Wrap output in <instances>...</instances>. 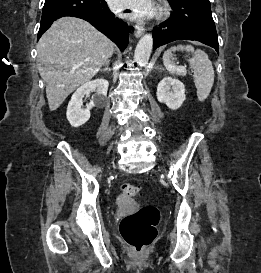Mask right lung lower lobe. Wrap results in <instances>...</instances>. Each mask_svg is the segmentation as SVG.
<instances>
[{
  "label": "right lung lower lobe",
  "mask_w": 261,
  "mask_h": 273,
  "mask_svg": "<svg viewBox=\"0 0 261 273\" xmlns=\"http://www.w3.org/2000/svg\"><path fill=\"white\" fill-rule=\"evenodd\" d=\"M73 16L82 18L110 38L123 51L128 45L127 23L114 18L105 0H45L38 39L54 20Z\"/></svg>",
  "instance_id": "right-lung-lower-lobe-1"
}]
</instances>
